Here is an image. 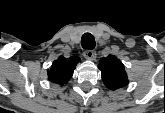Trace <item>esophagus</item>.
I'll use <instances>...</instances> for the list:
<instances>
[{
    "label": "esophagus",
    "mask_w": 165,
    "mask_h": 113,
    "mask_svg": "<svg viewBox=\"0 0 165 113\" xmlns=\"http://www.w3.org/2000/svg\"><path fill=\"white\" fill-rule=\"evenodd\" d=\"M83 55L88 60H94L96 58V52L94 50H85Z\"/></svg>",
    "instance_id": "1"
}]
</instances>
